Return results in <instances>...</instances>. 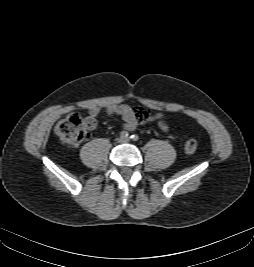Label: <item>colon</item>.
<instances>
[{
  "label": "colon",
  "instance_id": "1",
  "mask_svg": "<svg viewBox=\"0 0 254 267\" xmlns=\"http://www.w3.org/2000/svg\"><path fill=\"white\" fill-rule=\"evenodd\" d=\"M96 124L95 118L71 114L57 123L55 132L64 143L75 146L89 137L90 131ZM197 147L198 144L194 139L187 140L184 145L187 153H194Z\"/></svg>",
  "mask_w": 254,
  "mask_h": 267
}]
</instances>
